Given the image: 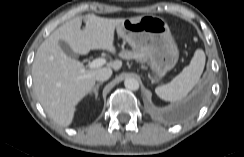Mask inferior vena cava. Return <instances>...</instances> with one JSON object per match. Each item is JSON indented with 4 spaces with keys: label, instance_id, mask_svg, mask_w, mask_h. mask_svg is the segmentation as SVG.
<instances>
[{
    "label": "inferior vena cava",
    "instance_id": "inferior-vena-cava-1",
    "mask_svg": "<svg viewBox=\"0 0 244 157\" xmlns=\"http://www.w3.org/2000/svg\"><path fill=\"white\" fill-rule=\"evenodd\" d=\"M112 75V70L111 68H101L97 71L96 73V80L97 81H106L108 80Z\"/></svg>",
    "mask_w": 244,
    "mask_h": 157
}]
</instances>
